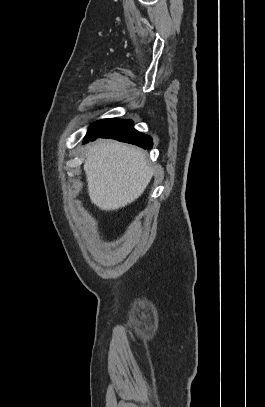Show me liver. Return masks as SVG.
<instances>
[{"label":"liver","instance_id":"obj_1","mask_svg":"<svg viewBox=\"0 0 265 407\" xmlns=\"http://www.w3.org/2000/svg\"><path fill=\"white\" fill-rule=\"evenodd\" d=\"M83 169L91 202L105 211L134 202L153 175L143 150L111 140H98L89 148Z\"/></svg>","mask_w":265,"mask_h":407}]
</instances>
